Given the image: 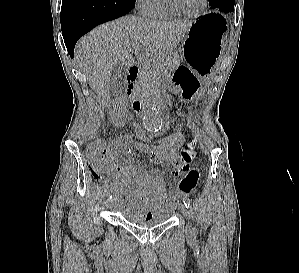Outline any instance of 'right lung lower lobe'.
<instances>
[{
	"instance_id": "98d812e1",
	"label": "right lung lower lobe",
	"mask_w": 299,
	"mask_h": 273,
	"mask_svg": "<svg viewBox=\"0 0 299 273\" xmlns=\"http://www.w3.org/2000/svg\"><path fill=\"white\" fill-rule=\"evenodd\" d=\"M135 0H62L60 14L66 48L73 57L77 40L104 22L127 14Z\"/></svg>"
}]
</instances>
